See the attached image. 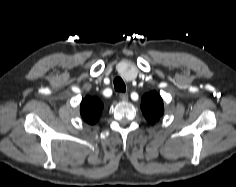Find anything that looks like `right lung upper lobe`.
I'll use <instances>...</instances> for the list:
<instances>
[{"mask_svg": "<svg viewBox=\"0 0 236 187\" xmlns=\"http://www.w3.org/2000/svg\"><path fill=\"white\" fill-rule=\"evenodd\" d=\"M102 109L103 103L98 98L86 96L81 102L80 113L85 122L93 125L99 120Z\"/></svg>", "mask_w": 236, "mask_h": 187, "instance_id": "right-lung-upper-lobe-1", "label": "right lung upper lobe"}]
</instances>
